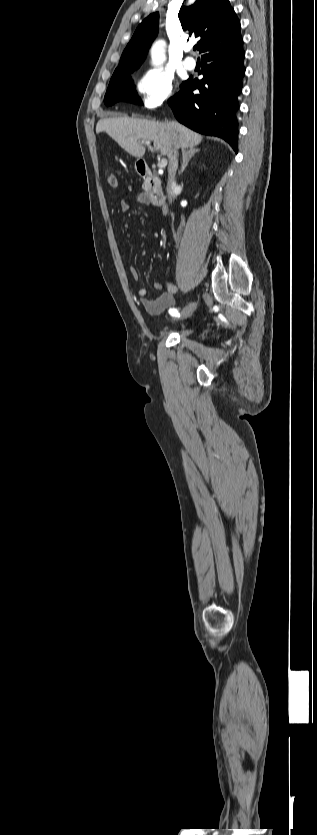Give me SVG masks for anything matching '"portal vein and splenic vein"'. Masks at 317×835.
Instances as JSON below:
<instances>
[{"instance_id":"obj_1","label":"portal vein and splenic vein","mask_w":317,"mask_h":835,"mask_svg":"<svg viewBox=\"0 0 317 835\" xmlns=\"http://www.w3.org/2000/svg\"><path fill=\"white\" fill-rule=\"evenodd\" d=\"M142 143H143V144H145V145H147V147H148V149H149L150 151H152V152L154 151V149L150 146L149 142H147V141H142ZM166 165H167V160H166V159H161V160L158 162V166H159L160 168H164V167H166Z\"/></svg>"}]
</instances>
